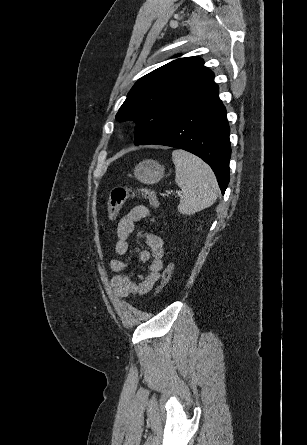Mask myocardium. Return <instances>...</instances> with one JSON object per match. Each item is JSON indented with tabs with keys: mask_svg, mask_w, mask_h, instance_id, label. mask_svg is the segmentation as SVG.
Here are the masks:
<instances>
[{
	"mask_svg": "<svg viewBox=\"0 0 307 445\" xmlns=\"http://www.w3.org/2000/svg\"><path fill=\"white\" fill-rule=\"evenodd\" d=\"M142 123V118L139 115H133L128 120L129 127H137Z\"/></svg>",
	"mask_w": 307,
	"mask_h": 445,
	"instance_id": "obj_1",
	"label": "myocardium"
}]
</instances>
